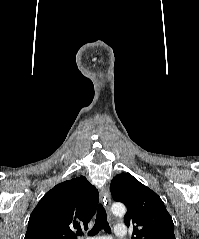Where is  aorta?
Segmentation results:
<instances>
[{"mask_svg": "<svg viewBox=\"0 0 199 239\" xmlns=\"http://www.w3.org/2000/svg\"><path fill=\"white\" fill-rule=\"evenodd\" d=\"M111 211L116 216H123L126 213V207L122 203H114Z\"/></svg>", "mask_w": 199, "mask_h": 239, "instance_id": "obj_1", "label": "aorta"}]
</instances>
